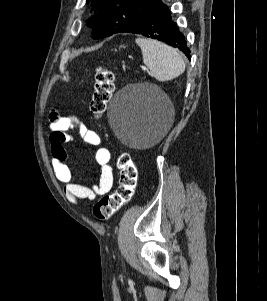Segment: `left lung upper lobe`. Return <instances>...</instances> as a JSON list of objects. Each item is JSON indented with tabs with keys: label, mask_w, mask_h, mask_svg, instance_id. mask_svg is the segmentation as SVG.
<instances>
[{
	"label": "left lung upper lobe",
	"mask_w": 267,
	"mask_h": 301,
	"mask_svg": "<svg viewBox=\"0 0 267 301\" xmlns=\"http://www.w3.org/2000/svg\"><path fill=\"white\" fill-rule=\"evenodd\" d=\"M92 3V10L99 11L89 19V26L94 28V39L104 38L118 33L125 26L137 22L161 0H87Z\"/></svg>",
	"instance_id": "left-lung-upper-lobe-1"
}]
</instances>
